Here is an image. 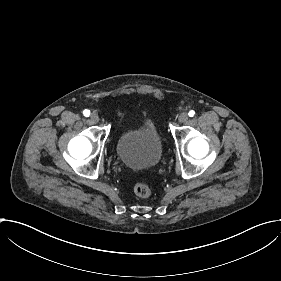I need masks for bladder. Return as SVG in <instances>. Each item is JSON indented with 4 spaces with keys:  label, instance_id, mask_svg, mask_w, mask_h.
<instances>
[{
    "label": "bladder",
    "instance_id": "bladder-1",
    "mask_svg": "<svg viewBox=\"0 0 281 281\" xmlns=\"http://www.w3.org/2000/svg\"><path fill=\"white\" fill-rule=\"evenodd\" d=\"M117 154L131 167L146 169L155 165L162 154V143L154 124L145 121L121 133L117 141Z\"/></svg>",
    "mask_w": 281,
    "mask_h": 281
}]
</instances>
